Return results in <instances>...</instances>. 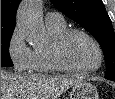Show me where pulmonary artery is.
Listing matches in <instances>:
<instances>
[{
    "mask_svg": "<svg viewBox=\"0 0 115 99\" xmlns=\"http://www.w3.org/2000/svg\"><path fill=\"white\" fill-rule=\"evenodd\" d=\"M45 21L46 24H60L64 22V18L58 12H51L46 14Z\"/></svg>",
    "mask_w": 115,
    "mask_h": 99,
    "instance_id": "e3ab8cb5",
    "label": "pulmonary artery"
}]
</instances>
